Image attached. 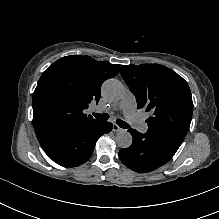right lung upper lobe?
<instances>
[{"instance_id":"right-lung-upper-lobe-1","label":"right lung upper lobe","mask_w":219,"mask_h":219,"mask_svg":"<svg viewBox=\"0 0 219 219\" xmlns=\"http://www.w3.org/2000/svg\"><path fill=\"white\" fill-rule=\"evenodd\" d=\"M121 65L71 55L54 62L40 77L33 93V125L91 123L83 110L100 99L102 83L116 76Z\"/></svg>"}]
</instances>
